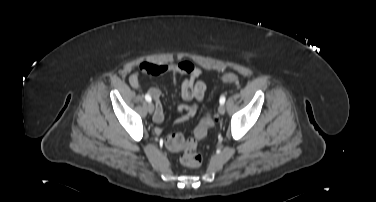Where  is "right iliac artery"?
Returning a JSON list of instances; mask_svg holds the SVG:
<instances>
[{
  "label": "right iliac artery",
  "instance_id": "obj_1",
  "mask_svg": "<svg viewBox=\"0 0 376 202\" xmlns=\"http://www.w3.org/2000/svg\"><path fill=\"white\" fill-rule=\"evenodd\" d=\"M145 100L147 101V102H151V96L150 95H148V94H146L145 95Z\"/></svg>",
  "mask_w": 376,
  "mask_h": 202
}]
</instances>
